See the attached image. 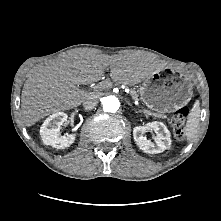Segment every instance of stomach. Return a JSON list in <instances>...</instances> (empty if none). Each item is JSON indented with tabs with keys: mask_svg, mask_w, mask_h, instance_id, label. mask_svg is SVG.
Listing matches in <instances>:
<instances>
[{
	"mask_svg": "<svg viewBox=\"0 0 221 221\" xmlns=\"http://www.w3.org/2000/svg\"><path fill=\"white\" fill-rule=\"evenodd\" d=\"M142 102L151 110L171 113L186 105L193 95V84L184 73L155 72L139 88Z\"/></svg>",
	"mask_w": 221,
	"mask_h": 221,
	"instance_id": "stomach-1",
	"label": "stomach"
}]
</instances>
